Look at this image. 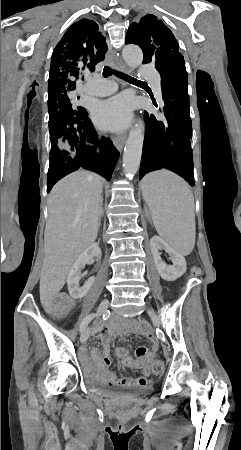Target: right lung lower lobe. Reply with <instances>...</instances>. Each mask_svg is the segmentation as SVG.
<instances>
[{"label": "right lung lower lobe", "instance_id": "1", "mask_svg": "<svg viewBox=\"0 0 241 450\" xmlns=\"http://www.w3.org/2000/svg\"><path fill=\"white\" fill-rule=\"evenodd\" d=\"M60 130L68 137L74 146V152L69 154L50 155V165L47 177V192L53 185L67 174L78 170L80 167L94 171L108 181L119 158V152L112 142L103 139L101 153L97 155V134L93 124L87 116L80 121L64 123Z\"/></svg>", "mask_w": 241, "mask_h": 450}]
</instances>
